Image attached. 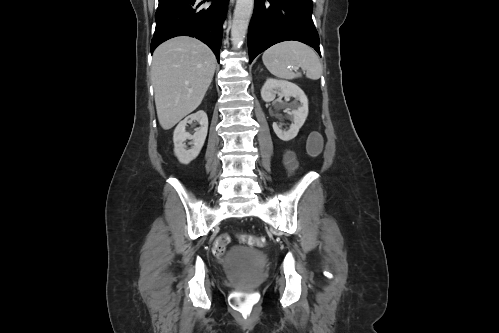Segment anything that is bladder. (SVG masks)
<instances>
[{
  "mask_svg": "<svg viewBox=\"0 0 499 333\" xmlns=\"http://www.w3.org/2000/svg\"><path fill=\"white\" fill-rule=\"evenodd\" d=\"M263 254L249 248H234L228 261V272L244 282H251L263 262Z\"/></svg>",
  "mask_w": 499,
  "mask_h": 333,
  "instance_id": "bladder-1",
  "label": "bladder"
}]
</instances>
